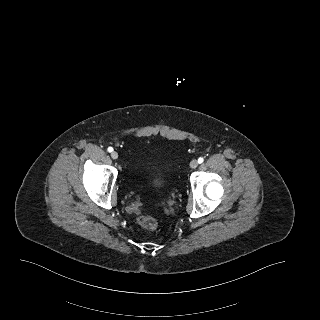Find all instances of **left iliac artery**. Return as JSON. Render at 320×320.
<instances>
[{
	"label": "left iliac artery",
	"mask_w": 320,
	"mask_h": 320,
	"mask_svg": "<svg viewBox=\"0 0 320 320\" xmlns=\"http://www.w3.org/2000/svg\"><path fill=\"white\" fill-rule=\"evenodd\" d=\"M204 161V159L202 158V157H200L199 159H198V163L200 164V163H202Z\"/></svg>",
	"instance_id": "left-iliac-artery-1"
}]
</instances>
